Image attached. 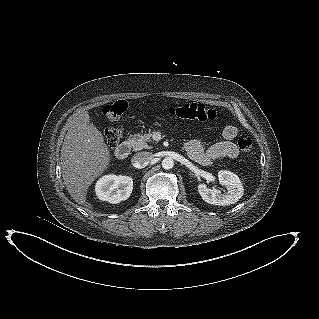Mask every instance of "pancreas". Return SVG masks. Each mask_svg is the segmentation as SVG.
Wrapping results in <instances>:
<instances>
[{
    "instance_id": "pancreas-1",
    "label": "pancreas",
    "mask_w": 319,
    "mask_h": 319,
    "mask_svg": "<svg viewBox=\"0 0 319 319\" xmlns=\"http://www.w3.org/2000/svg\"><path fill=\"white\" fill-rule=\"evenodd\" d=\"M152 133H154V132H150L147 134H134L130 138V142H131V146H132L133 150L139 151V150H142L144 148H150L147 145V143L152 141Z\"/></svg>"
}]
</instances>
